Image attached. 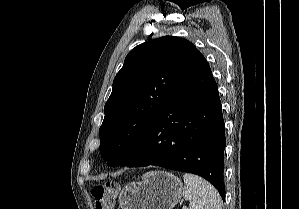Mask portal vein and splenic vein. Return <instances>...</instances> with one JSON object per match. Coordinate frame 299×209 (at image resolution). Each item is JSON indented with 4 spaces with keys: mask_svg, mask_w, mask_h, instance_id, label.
<instances>
[{
    "mask_svg": "<svg viewBox=\"0 0 299 209\" xmlns=\"http://www.w3.org/2000/svg\"><path fill=\"white\" fill-rule=\"evenodd\" d=\"M182 209H188L187 206H183Z\"/></svg>",
    "mask_w": 299,
    "mask_h": 209,
    "instance_id": "obj_1",
    "label": "portal vein and splenic vein"
}]
</instances>
